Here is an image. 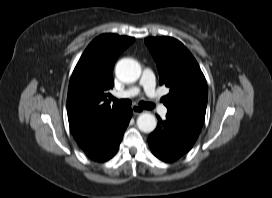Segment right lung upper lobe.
Wrapping results in <instances>:
<instances>
[{
  "mask_svg": "<svg viewBox=\"0 0 272 198\" xmlns=\"http://www.w3.org/2000/svg\"><path fill=\"white\" fill-rule=\"evenodd\" d=\"M134 38L102 34L86 48L69 83L67 113L71 132L79 140L119 110L107 99L114 82L112 71L120 53Z\"/></svg>",
  "mask_w": 272,
  "mask_h": 198,
  "instance_id": "right-lung-upper-lobe-1",
  "label": "right lung upper lobe"
}]
</instances>
